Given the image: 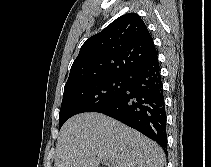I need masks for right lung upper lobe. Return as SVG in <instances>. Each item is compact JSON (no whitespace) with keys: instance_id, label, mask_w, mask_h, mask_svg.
Returning <instances> with one entry per match:
<instances>
[{"instance_id":"1","label":"right lung upper lobe","mask_w":211,"mask_h":167,"mask_svg":"<svg viewBox=\"0 0 211 167\" xmlns=\"http://www.w3.org/2000/svg\"><path fill=\"white\" fill-rule=\"evenodd\" d=\"M156 57L153 39L141 17L122 15L82 45L64 89L96 78L125 76Z\"/></svg>"}]
</instances>
